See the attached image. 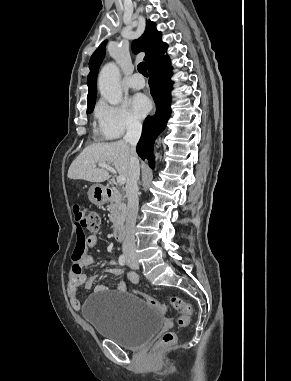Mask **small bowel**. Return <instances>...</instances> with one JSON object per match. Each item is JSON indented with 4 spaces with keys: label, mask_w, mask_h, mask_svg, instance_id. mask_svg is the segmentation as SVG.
I'll return each instance as SVG.
<instances>
[{
    "label": "small bowel",
    "mask_w": 291,
    "mask_h": 381,
    "mask_svg": "<svg viewBox=\"0 0 291 381\" xmlns=\"http://www.w3.org/2000/svg\"><path fill=\"white\" fill-rule=\"evenodd\" d=\"M86 245L90 248L96 247L98 245L99 239L96 235H90L86 238ZM80 265L82 266H89L94 262V259L89 254H82L80 259L78 260ZM109 272L113 275L119 276L123 273V270L120 267H117L112 264L109 268ZM128 280L132 284H138L139 282V276L134 273L130 272L127 275ZM95 279L94 278H86L82 274L73 271L69 274L66 290L67 295L69 298V302L71 307L78 311L82 307V302L80 300V287L84 286L85 288H90L94 284ZM108 289L107 285L104 283H98L95 287L96 292H103ZM117 291H125L126 290V284L125 282L121 281L116 285Z\"/></svg>",
    "instance_id": "1"
}]
</instances>
